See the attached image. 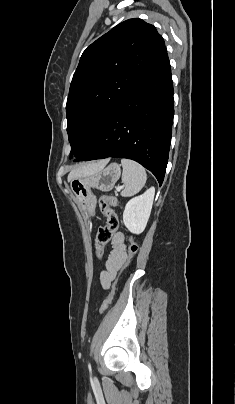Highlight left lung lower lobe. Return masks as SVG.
<instances>
[{"instance_id":"0a47b994","label":"left lung lower lobe","mask_w":235,"mask_h":404,"mask_svg":"<svg viewBox=\"0 0 235 404\" xmlns=\"http://www.w3.org/2000/svg\"><path fill=\"white\" fill-rule=\"evenodd\" d=\"M167 52L118 106L92 145L76 161L123 157L164 179L174 115Z\"/></svg>"}]
</instances>
